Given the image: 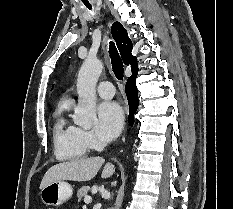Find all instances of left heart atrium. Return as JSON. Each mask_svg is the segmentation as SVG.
Returning <instances> with one entry per match:
<instances>
[{
    "label": "left heart atrium",
    "instance_id": "39dd6f15",
    "mask_svg": "<svg viewBox=\"0 0 233 209\" xmlns=\"http://www.w3.org/2000/svg\"><path fill=\"white\" fill-rule=\"evenodd\" d=\"M124 124L122 108L114 101H104L98 106L96 131L106 141L114 139Z\"/></svg>",
    "mask_w": 233,
    "mask_h": 209
}]
</instances>
